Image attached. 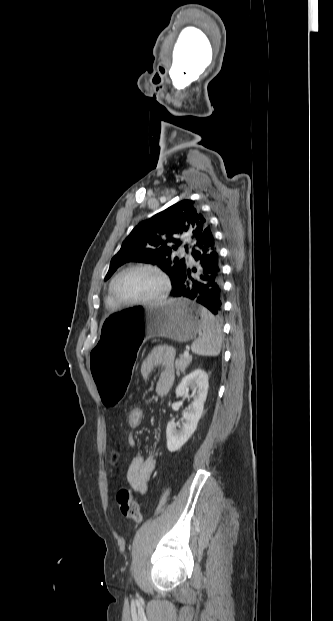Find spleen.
Here are the masks:
<instances>
[{
    "mask_svg": "<svg viewBox=\"0 0 333 621\" xmlns=\"http://www.w3.org/2000/svg\"><path fill=\"white\" fill-rule=\"evenodd\" d=\"M201 337L191 345V350L199 356H218L222 347V331L214 315L201 307Z\"/></svg>",
    "mask_w": 333,
    "mask_h": 621,
    "instance_id": "obj_1",
    "label": "spleen"
}]
</instances>
